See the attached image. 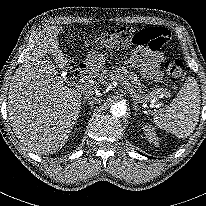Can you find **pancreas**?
<instances>
[{
  "mask_svg": "<svg viewBox=\"0 0 206 206\" xmlns=\"http://www.w3.org/2000/svg\"><path fill=\"white\" fill-rule=\"evenodd\" d=\"M124 64L127 66H131L135 64V62L131 59H127L124 61ZM98 77H99L98 80L101 83H107L110 80H114L122 83L123 80H125L126 78L131 80L132 74L128 71V69L125 66H120V67L117 66V67H112L111 70H107V69L103 70L98 74ZM139 93H140L139 96L141 97V100L146 101L156 97L158 94L161 93V90L157 89L152 92H149V94L141 95L145 93V91L144 89L143 90L139 89Z\"/></svg>",
  "mask_w": 206,
  "mask_h": 206,
  "instance_id": "obj_1",
  "label": "pancreas"
}]
</instances>
